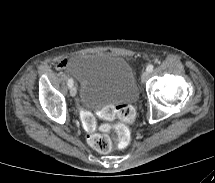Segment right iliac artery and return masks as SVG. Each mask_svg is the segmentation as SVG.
<instances>
[{
  "label": "right iliac artery",
  "mask_w": 215,
  "mask_h": 183,
  "mask_svg": "<svg viewBox=\"0 0 215 183\" xmlns=\"http://www.w3.org/2000/svg\"><path fill=\"white\" fill-rule=\"evenodd\" d=\"M67 84H68V87H72V85H73V79L69 78Z\"/></svg>",
  "instance_id": "right-iliac-artery-1"
}]
</instances>
